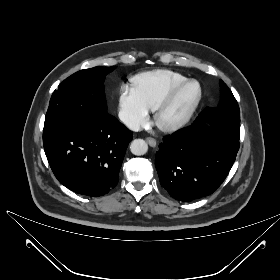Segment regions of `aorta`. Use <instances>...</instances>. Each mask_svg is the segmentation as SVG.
Masks as SVG:
<instances>
[{
	"mask_svg": "<svg viewBox=\"0 0 280 280\" xmlns=\"http://www.w3.org/2000/svg\"><path fill=\"white\" fill-rule=\"evenodd\" d=\"M132 154L141 156L147 153L148 145L143 139H135L130 145Z\"/></svg>",
	"mask_w": 280,
	"mask_h": 280,
	"instance_id": "aorta-1",
	"label": "aorta"
}]
</instances>
